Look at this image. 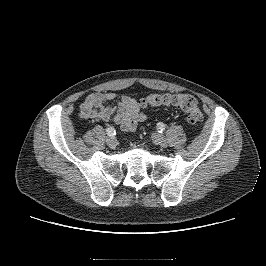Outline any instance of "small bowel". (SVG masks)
I'll return each instance as SVG.
<instances>
[{"instance_id": "small-bowel-1", "label": "small bowel", "mask_w": 266, "mask_h": 266, "mask_svg": "<svg viewBox=\"0 0 266 266\" xmlns=\"http://www.w3.org/2000/svg\"><path fill=\"white\" fill-rule=\"evenodd\" d=\"M115 101V106L106 105ZM80 117L85 120L114 122L125 131H134L147 116L141 111L139 101L131 96L114 92H93L80 107Z\"/></svg>"}]
</instances>
